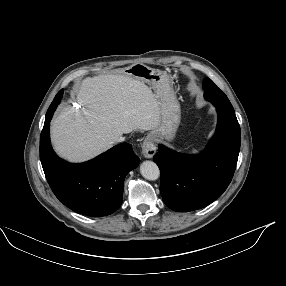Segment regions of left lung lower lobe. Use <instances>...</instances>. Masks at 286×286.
I'll list each match as a JSON object with an SVG mask.
<instances>
[{"mask_svg": "<svg viewBox=\"0 0 286 286\" xmlns=\"http://www.w3.org/2000/svg\"><path fill=\"white\" fill-rule=\"evenodd\" d=\"M213 104L218 125L206 150L184 155L159 145L153 157L161 172L163 201L174 211H193L209 205L232 180L240 150V126L228 103Z\"/></svg>", "mask_w": 286, "mask_h": 286, "instance_id": "left-lung-lower-lobe-1", "label": "left lung lower lobe"}]
</instances>
